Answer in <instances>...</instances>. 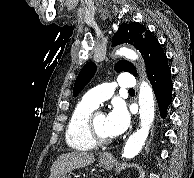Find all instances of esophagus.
Wrapping results in <instances>:
<instances>
[{"label": "esophagus", "mask_w": 194, "mask_h": 178, "mask_svg": "<svg viewBox=\"0 0 194 178\" xmlns=\"http://www.w3.org/2000/svg\"><path fill=\"white\" fill-rule=\"evenodd\" d=\"M103 157L104 158H111V154H108V153L107 154H104Z\"/></svg>", "instance_id": "1"}]
</instances>
